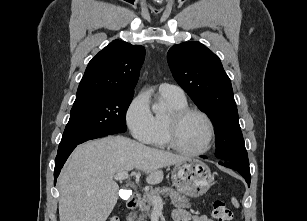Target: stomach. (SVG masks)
Returning <instances> with one entry per match:
<instances>
[{
  "instance_id": "stomach-1",
  "label": "stomach",
  "mask_w": 307,
  "mask_h": 221,
  "mask_svg": "<svg viewBox=\"0 0 307 221\" xmlns=\"http://www.w3.org/2000/svg\"><path fill=\"white\" fill-rule=\"evenodd\" d=\"M171 178L177 190L189 197L205 194L213 182L210 168L196 159L175 164Z\"/></svg>"
}]
</instances>
